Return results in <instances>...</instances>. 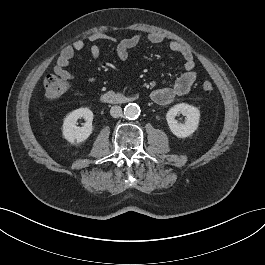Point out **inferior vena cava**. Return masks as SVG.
I'll return each instance as SVG.
<instances>
[{
    "label": "inferior vena cava",
    "instance_id": "1",
    "mask_svg": "<svg viewBox=\"0 0 265 265\" xmlns=\"http://www.w3.org/2000/svg\"><path fill=\"white\" fill-rule=\"evenodd\" d=\"M110 114L114 118H118L122 115V108L120 106H112L110 109Z\"/></svg>",
    "mask_w": 265,
    "mask_h": 265
}]
</instances>
